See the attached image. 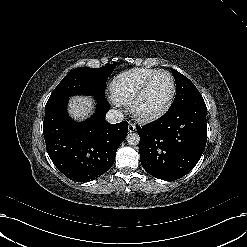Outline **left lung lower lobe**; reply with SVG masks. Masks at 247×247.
Here are the masks:
<instances>
[{
    "instance_id": "obj_1",
    "label": "left lung lower lobe",
    "mask_w": 247,
    "mask_h": 247,
    "mask_svg": "<svg viewBox=\"0 0 247 247\" xmlns=\"http://www.w3.org/2000/svg\"><path fill=\"white\" fill-rule=\"evenodd\" d=\"M206 105L202 96L169 108L159 119L137 127L140 161L152 176L177 180L199 161L207 141Z\"/></svg>"
}]
</instances>
